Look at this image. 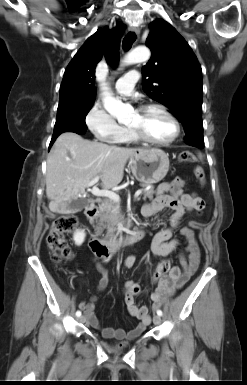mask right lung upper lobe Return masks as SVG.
Instances as JSON below:
<instances>
[{"instance_id":"obj_1","label":"right lung upper lobe","mask_w":247,"mask_h":385,"mask_svg":"<svg viewBox=\"0 0 247 385\" xmlns=\"http://www.w3.org/2000/svg\"><path fill=\"white\" fill-rule=\"evenodd\" d=\"M123 24L107 27L89 37L67 66L60 87V97L95 98V67L104 55L107 62L116 65L119 60Z\"/></svg>"}]
</instances>
